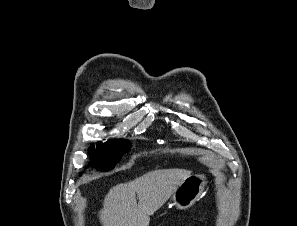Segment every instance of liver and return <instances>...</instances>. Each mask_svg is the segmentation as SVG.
<instances>
[{
	"instance_id": "liver-1",
	"label": "liver",
	"mask_w": 297,
	"mask_h": 226,
	"mask_svg": "<svg viewBox=\"0 0 297 226\" xmlns=\"http://www.w3.org/2000/svg\"><path fill=\"white\" fill-rule=\"evenodd\" d=\"M190 175L191 171L185 169H161L114 186L106 195L100 211L102 226H148L150 216Z\"/></svg>"
}]
</instances>
